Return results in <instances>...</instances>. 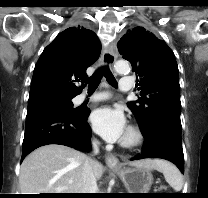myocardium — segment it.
Segmentation results:
<instances>
[{
	"instance_id": "obj_1",
	"label": "myocardium",
	"mask_w": 208,
	"mask_h": 198,
	"mask_svg": "<svg viewBox=\"0 0 208 198\" xmlns=\"http://www.w3.org/2000/svg\"><path fill=\"white\" fill-rule=\"evenodd\" d=\"M128 137H123L120 144L124 148L133 149L141 146L145 141V136L141 128L137 125H130L127 129Z\"/></svg>"
}]
</instances>
